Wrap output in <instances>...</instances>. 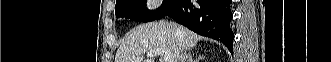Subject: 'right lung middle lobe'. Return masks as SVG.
Segmentation results:
<instances>
[{
  "instance_id": "1",
  "label": "right lung middle lobe",
  "mask_w": 331,
  "mask_h": 62,
  "mask_svg": "<svg viewBox=\"0 0 331 62\" xmlns=\"http://www.w3.org/2000/svg\"><path fill=\"white\" fill-rule=\"evenodd\" d=\"M179 0H164L157 10H148L146 0H119L115 5L117 18H128L139 22H151L163 18Z\"/></svg>"
}]
</instances>
